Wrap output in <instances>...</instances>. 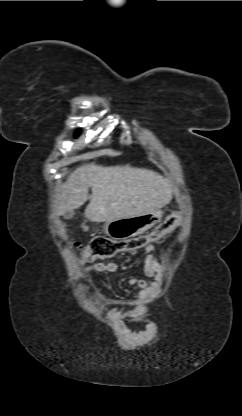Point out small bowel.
Listing matches in <instances>:
<instances>
[{"label":"small bowel","mask_w":242,"mask_h":416,"mask_svg":"<svg viewBox=\"0 0 242 416\" xmlns=\"http://www.w3.org/2000/svg\"><path fill=\"white\" fill-rule=\"evenodd\" d=\"M144 251V273L148 279L140 277H131L128 279V284L130 286L140 290L137 298L134 300L123 301L122 304L124 307L116 306L108 311L110 321L124 333H126L125 320L137 319L147 312L164 277L163 265L156 255L154 246L148 245L144 248ZM133 253L134 252H130V254ZM165 255H168V251H165ZM118 269L119 265L116 262H99L86 267V272L112 274Z\"/></svg>","instance_id":"obj_1"}]
</instances>
